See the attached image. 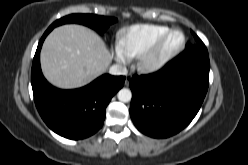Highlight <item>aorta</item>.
I'll list each match as a JSON object with an SVG mask.
<instances>
[{
    "label": "aorta",
    "instance_id": "aorta-1",
    "mask_svg": "<svg viewBox=\"0 0 248 165\" xmlns=\"http://www.w3.org/2000/svg\"><path fill=\"white\" fill-rule=\"evenodd\" d=\"M118 100L121 102H129L132 98V93L129 89L123 88L117 94Z\"/></svg>",
    "mask_w": 248,
    "mask_h": 165
}]
</instances>
